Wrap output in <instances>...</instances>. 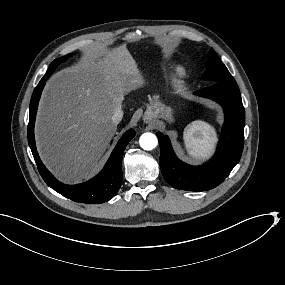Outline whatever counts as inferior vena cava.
<instances>
[{
	"instance_id": "obj_1",
	"label": "inferior vena cava",
	"mask_w": 285,
	"mask_h": 285,
	"mask_svg": "<svg viewBox=\"0 0 285 285\" xmlns=\"http://www.w3.org/2000/svg\"><path fill=\"white\" fill-rule=\"evenodd\" d=\"M122 117H123V111L121 108H119L114 112L112 116L113 123L117 125L122 120Z\"/></svg>"
}]
</instances>
